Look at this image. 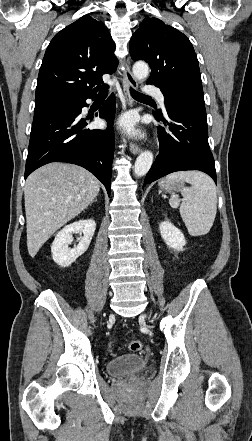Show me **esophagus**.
Listing matches in <instances>:
<instances>
[{
  "label": "esophagus",
  "instance_id": "esophagus-1",
  "mask_svg": "<svg viewBox=\"0 0 252 441\" xmlns=\"http://www.w3.org/2000/svg\"><path fill=\"white\" fill-rule=\"evenodd\" d=\"M125 70H124V82H123V91L126 98L127 105L129 107H132L134 105V101L131 97L130 89L134 88L136 89L138 87L137 80L131 73L130 67H129V61L125 60L124 62ZM141 147L134 143H130V151L132 154H138L141 152Z\"/></svg>",
  "mask_w": 252,
  "mask_h": 441
}]
</instances>
